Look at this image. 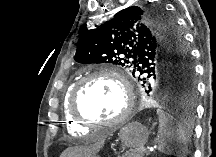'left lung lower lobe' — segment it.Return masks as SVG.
<instances>
[{
    "instance_id": "1",
    "label": "left lung lower lobe",
    "mask_w": 216,
    "mask_h": 157,
    "mask_svg": "<svg viewBox=\"0 0 216 157\" xmlns=\"http://www.w3.org/2000/svg\"><path fill=\"white\" fill-rule=\"evenodd\" d=\"M183 124L185 125L186 129L189 127V124L191 122V118L189 117L188 114L182 117Z\"/></svg>"
}]
</instances>
